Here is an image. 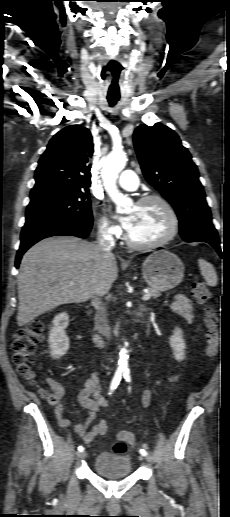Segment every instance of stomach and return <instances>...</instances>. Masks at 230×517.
I'll use <instances>...</instances> for the list:
<instances>
[{"instance_id": "1", "label": "stomach", "mask_w": 230, "mask_h": 517, "mask_svg": "<svg viewBox=\"0 0 230 517\" xmlns=\"http://www.w3.org/2000/svg\"><path fill=\"white\" fill-rule=\"evenodd\" d=\"M184 270L181 259L166 250L152 253L142 265L143 278L151 288L159 291H167L179 285Z\"/></svg>"}]
</instances>
